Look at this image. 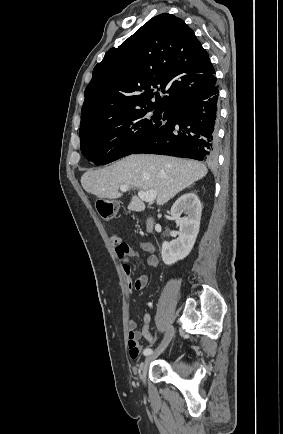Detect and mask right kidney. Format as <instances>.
Instances as JSON below:
<instances>
[{"label":"right kidney","instance_id":"ca27d5eb","mask_svg":"<svg viewBox=\"0 0 283 434\" xmlns=\"http://www.w3.org/2000/svg\"><path fill=\"white\" fill-rule=\"evenodd\" d=\"M201 202L194 193L179 197L171 208V216L179 226V236L171 242L162 244V260L166 265H172L184 259L191 252L196 241L201 220ZM181 213L187 216L180 218Z\"/></svg>","mask_w":283,"mask_h":434}]
</instances>
